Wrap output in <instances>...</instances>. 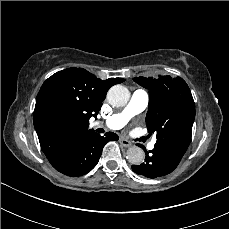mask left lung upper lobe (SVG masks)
I'll return each instance as SVG.
<instances>
[{
  "label": "left lung upper lobe",
  "mask_w": 229,
  "mask_h": 229,
  "mask_svg": "<svg viewBox=\"0 0 229 229\" xmlns=\"http://www.w3.org/2000/svg\"><path fill=\"white\" fill-rule=\"evenodd\" d=\"M133 80L149 90L146 115L149 135L156 134L155 146L178 165L190 144L195 119V104L187 83L181 77L169 75Z\"/></svg>",
  "instance_id": "left-lung-upper-lobe-1"
}]
</instances>
